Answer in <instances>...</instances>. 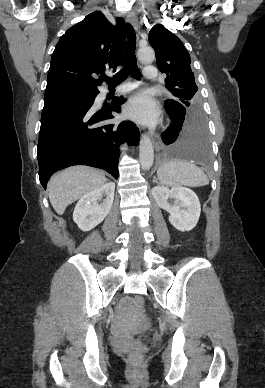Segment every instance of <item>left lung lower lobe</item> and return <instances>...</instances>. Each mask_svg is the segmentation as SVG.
<instances>
[{
    "mask_svg": "<svg viewBox=\"0 0 265 388\" xmlns=\"http://www.w3.org/2000/svg\"><path fill=\"white\" fill-rule=\"evenodd\" d=\"M171 124L161 138L167 147L165 158L183 159L206 165L210 161L209 134L200 109H187L178 102L165 101Z\"/></svg>",
    "mask_w": 265,
    "mask_h": 388,
    "instance_id": "left-lung-lower-lobe-1",
    "label": "left lung lower lobe"
}]
</instances>
